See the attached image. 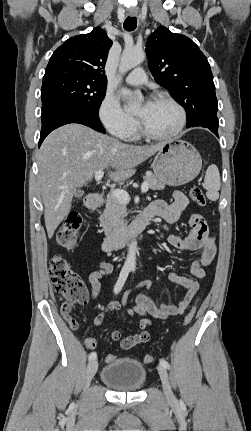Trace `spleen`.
Here are the masks:
<instances>
[{"mask_svg":"<svg viewBox=\"0 0 251 431\" xmlns=\"http://www.w3.org/2000/svg\"><path fill=\"white\" fill-rule=\"evenodd\" d=\"M204 183L207 188V198L211 201H216L219 198L221 187L220 174L216 165L212 164L207 168Z\"/></svg>","mask_w":251,"mask_h":431,"instance_id":"obj_1","label":"spleen"}]
</instances>
